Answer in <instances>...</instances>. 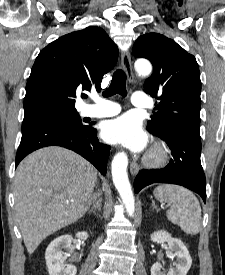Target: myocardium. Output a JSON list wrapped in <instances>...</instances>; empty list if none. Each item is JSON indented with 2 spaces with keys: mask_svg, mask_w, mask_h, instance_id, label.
Instances as JSON below:
<instances>
[{
  "mask_svg": "<svg viewBox=\"0 0 225 275\" xmlns=\"http://www.w3.org/2000/svg\"><path fill=\"white\" fill-rule=\"evenodd\" d=\"M169 160V151L162 143H155L147 156L145 157V165L149 168H159L165 165Z\"/></svg>",
  "mask_w": 225,
  "mask_h": 275,
  "instance_id": "myocardium-1",
  "label": "myocardium"
}]
</instances>
